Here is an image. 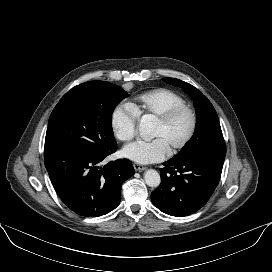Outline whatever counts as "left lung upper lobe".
Wrapping results in <instances>:
<instances>
[{
	"label": "left lung upper lobe",
	"mask_w": 272,
	"mask_h": 272,
	"mask_svg": "<svg viewBox=\"0 0 272 272\" xmlns=\"http://www.w3.org/2000/svg\"><path fill=\"white\" fill-rule=\"evenodd\" d=\"M168 84L181 87L194 102L197 115L196 131L192 139L173 158L195 156L204 160L224 163L226 145L217 113L208 100L197 88L189 83L175 79L162 78Z\"/></svg>",
	"instance_id": "1"
}]
</instances>
